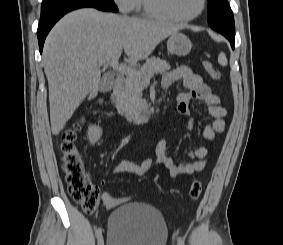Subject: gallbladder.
Masks as SVG:
<instances>
[{
  "label": "gallbladder",
  "mask_w": 283,
  "mask_h": 245,
  "mask_svg": "<svg viewBox=\"0 0 283 245\" xmlns=\"http://www.w3.org/2000/svg\"><path fill=\"white\" fill-rule=\"evenodd\" d=\"M110 89H111V85L109 83L105 82V80H102L99 90L101 92H107Z\"/></svg>",
  "instance_id": "gallbladder-1"
}]
</instances>
